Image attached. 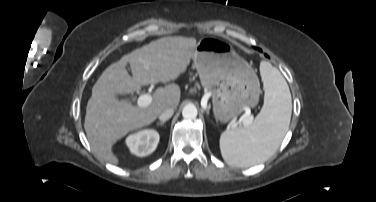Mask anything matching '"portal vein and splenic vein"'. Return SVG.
<instances>
[{"instance_id":"portal-vein-and-splenic-vein-1","label":"portal vein and splenic vein","mask_w":376,"mask_h":202,"mask_svg":"<svg viewBox=\"0 0 376 202\" xmlns=\"http://www.w3.org/2000/svg\"><path fill=\"white\" fill-rule=\"evenodd\" d=\"M153 98L150 94H142L139 98H138V104L140 106H148L151 102H152ZM252 121V119L250 117H245L242 119V123L244 125H248L250 124Z\"/></svg>"}]
</instances>
